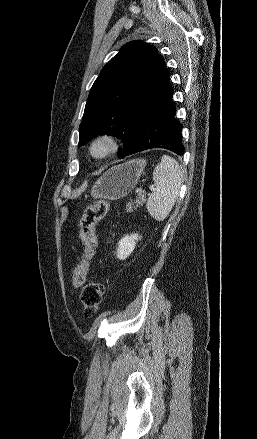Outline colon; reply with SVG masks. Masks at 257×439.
<instances>
[{
    "mask_svg": "<svg viewBox=\"0 0 257 439\" xmlns=\"http://www.w3.org/2000/svg\"><path fill=\"white\" fill-rule=\"evenodd\" d=\"M109 205L108 200L99 199L85 209L80 219V238L83 251L79 263L72 273V284L75 287H80L85 282L88 263L97 245L96 226L106 216ZM103 295L104 286L101 282L91 281L82 288L80 297L87 317L93 316L98 311Z\"/></svg>",
    "mask_w": 257,
    "mask_h": 439,
    "instance_id": "obj_1",
    "label": "colon"
}]
</instances>
